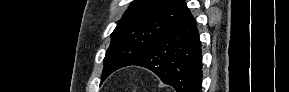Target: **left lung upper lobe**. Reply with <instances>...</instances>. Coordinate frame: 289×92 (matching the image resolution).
Masks as SVG:
<instances>
[{
    "label": "left lung upper lobe",
    "mask_w": 289,
    "mask_h": 92,
    "mask_svg": "<svg viewBox=\"0 0 289 92\" xmlns=\"http://www.w3.org/2000/svg\"><path fill=\"white\" fill-rule=\"evenodd\" d=\"M187 9L184 0H134L111 34L101 80L142 53Z\"/></svg>",
    "instance_id": "5c2ea615"
}]
</instances>
